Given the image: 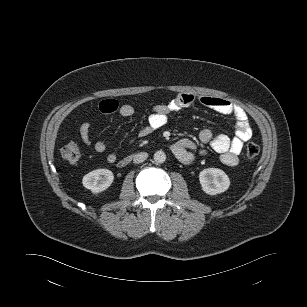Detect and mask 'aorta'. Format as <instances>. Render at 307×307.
Returning <instances> with one entry per match:
<instances>
[{
    "mask_svg": "<svg viewBox=\"0 0 307 307\" xmlns=\"http://www.w3.org/2000/svg\"><path fill=\"white\" fill-rule=\"evenodd\" d=\"M166 160V154L163 151H156L154 153V161L156 163H163Z\"/></svg>",
    "mask_w": 307,
    "mask_h": 307,
    "instance_id": "1",
    "label": "aorta"
}]
</instances>
